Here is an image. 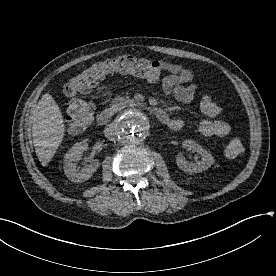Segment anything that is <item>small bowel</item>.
<instances>
[{
	"label": "small bowel",
	"mask_w": 276,
	"mask_h": 276,
	"mask_svg": "<svg viewBox=\"0 0 276 276\" xmlns=\"http://www.w3.org/2000/svg\"><path fill=\"white\" fill-rule=\"evenodd\" d=\"M166 75L162 79L163 91L173 96L177 101L190 103L193 101L197 92V85L194 82V74L187 68L167 61H158ZM202 113L208 117L201 120L197 129L198 132L206 137H224L229 134L231 127L223 120L216 119L221 113L222 108L216 104L211 96L205 95L200 102ZM171 130L178 131L185 125L183 119L169 118L165 123Z\"/></svg>",
	"instance_id": "1"
}]
</instances>
